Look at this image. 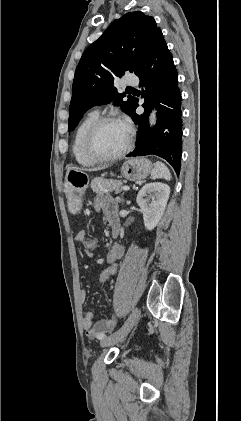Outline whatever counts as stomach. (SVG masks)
Masks as SVG:
<instances>
[{"label":"stomach","mask_w":241,"mask_h":421,"mask_svg":"<svg viewBox=\"0 0 241 421\" xmlns=\"http://www.w3.org/2000/svg\"><path fill=\"white\" fill-rule=\"evenodd\" d=\"M152 163L146 158H131L121 166V174L130 181H141L152 172ZM89 184L88 175L81 170H70L66 174L64 193L68 211L75 215L81 212L84 192Z\"/></svg>","instance_id":"0dacf381"}]
</instances>
